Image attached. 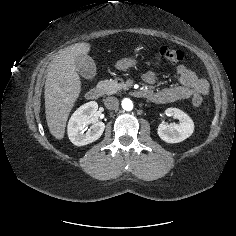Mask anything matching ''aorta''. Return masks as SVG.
Here are the masks:
<instances>
[{
	"instance_id": "1",
	"label": "aorta",
	"mask_w": 236,
	"mask_h": 236,
	"mask_svg": "<svg viewBox=\"0 0 236 236\" xmlns=\"http://www.w3.org/2000/svg\"><path fill=\"white\" fill-rule=\"evenodd\" d=\"M122 108L126 111L133 109V102L129 98H124L122 100Z\"/></svg>"
}]
</instances>
